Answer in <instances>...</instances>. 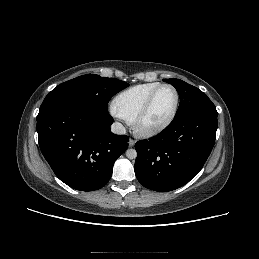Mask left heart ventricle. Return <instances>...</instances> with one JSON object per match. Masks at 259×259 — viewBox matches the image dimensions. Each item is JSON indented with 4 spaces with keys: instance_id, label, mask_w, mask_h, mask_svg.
Masks as SVG:
<instances>
[{
    "instance_id": "left-heart-ventricle-1",
    "label": "left heart ventricle",
    "mask_w": 259,
    "mask_h": 259,
    "mask_svg": "<svg viewBox=\"0 0 259 259\" xmlns=\"http://www.w3.org/2000/svg\"><path fill=\"white\" fill-rule=\"evenodd\" d=\"M175 94L170 88H162L156 95L151 110L145 120L146 126H155L164 121L171 113Z\"/></svg>"
}]
</instances>
